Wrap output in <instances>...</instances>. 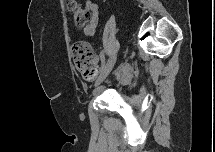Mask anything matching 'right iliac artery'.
Here are the masks:
<instances>
[{
	"label": "right iliac artery",
	"instance_id": "obj_1",
	"mask_svg": "<svg viewBox=\"0 0 215 152\" xmlns=\"http://www.w3.org/2000/svg\"><path fill=\"white\" fill-rule=\"evenodd\" d=\"M101 56H102V67H101V70L104 69L105 67V57H104V52L101 53Z\"/></svg>",
	"mask_w": 215,
	"mask_h": 152
}]
</instances>
